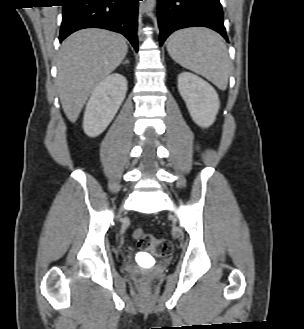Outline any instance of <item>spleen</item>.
Here are the masks:
<instances>
[{
	"label": "spleen",
	"instance_id": "spleen-1",
	"mask_svg": "<svg viewBox=\"0 0 304 329\" xmlns=\"http://www.w3.org/2000/svg\"><path fill=\"white\" fill-rule=\"evenodd\" d=\"M167 50L182 67L202 75L221 90L227 88L230 60L218 33L203 27L182 29L169 37Z\"/></svg>",
	"mask_w": 304,
	"mask_h": 329
}]
</instances>
